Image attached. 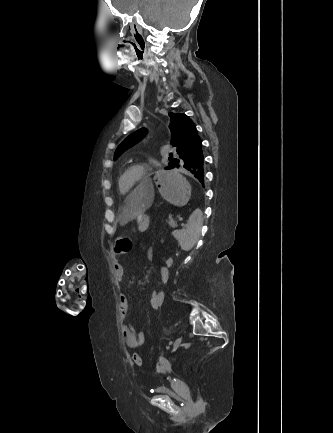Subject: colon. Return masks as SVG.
<instances>
[{"mask_svg":"<svg viewBox=\"0 0 333 433\" xmlns=\"http://www.w3.org/2000/svg\"><path fill=\"white\" fill-rule=\"evenodd\" d=\"M114 248L116 249L117 253H124L125 251H128L131 249L132 247V243H131V239L130 236H115L114 239V243H113ZM165 266L166 267H172L173 266V261L171 259V257H166L165 259ZM152 293V297H150L149 302H150V307L153 308V312H158V308L161 307V302L159 299V293L155 290L152 289L151 290ZM132 362L136 365V366H141L142 364V359L140 357L139 354L134 353L132 356Z\"/></svg>","mask_w":333,"mask_h":433,"instance_id":"1","label":"colon"}]
</instances>
